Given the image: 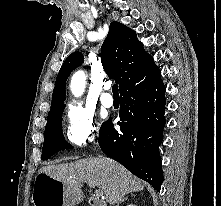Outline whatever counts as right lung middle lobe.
I'll list each match as a JSON object with an SVG mask.
<instances>
[{
	"instance_id": "1",
	"label": "right lung middle lobe",
	"mask_w": 221,
	"mask_h": 206,
	"mask_svg": "<svg viewBox=\"0 0 221 206\" xmlns=\"http://www.w3.org/2000/svg\"><path fill=\"white\" fill-rule=\"evenodd\" d=\"M63 110L64 107H59L48 114L41 157L42 160L48 159L59 150L72 148V146L65 141L62 134Z\"/></svg>"
}]
</instances>
